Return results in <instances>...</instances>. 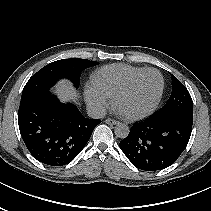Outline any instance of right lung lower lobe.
Here are the masks:
<instances>
[{
    "label": "right lung lower lobe",
    "mask_w": 211,
    "mask_h": 211,
    "mask_svg": "<svg viewBox=\"0 0 211 211\" xmlns=\"http://www.w3.org/2000/svg\"><path fill=\"white\" fill-rule=\"evenodd\" d=\"M100 122L83 117L75 105L63 104L50 93L21 102L18 111L19 130L27 149L50 166L70 163Z\"/></svg>",
    "instance_id": "obj_1"
}]
</instances>
